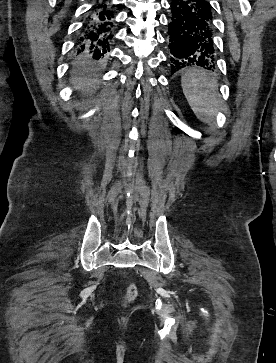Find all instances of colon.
I'll return each instance as SVG.
<instances>
[{"label": "colon", "instance_id": "1", "mask_svg": "<svg viewBox=\"0 0 276 363\" xmlns=\"http://www.w3.org/2000/svg\"><path fill=\"white\" fill-rule=\"evenodd\" d=\"M137 295V289L134 284H129L124 294V300L130 302L135 299Z\"/></svg>", "mask_w": 276, "mask_h": 363}]
</instances>
